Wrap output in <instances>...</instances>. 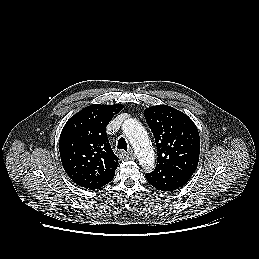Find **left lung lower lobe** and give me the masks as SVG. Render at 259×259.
<instances>
[{"label":"left lung lower lobe","instance_id":"obj_1","mask_svg":"<svg viewBox=\"0 0 259 259\" xmlns=\"http://www.w3.org/2000/svg\"><path fill=\"white\" fill-rule=\"evenodd\" d=\"M147 181L161 191H173L187 183V179L168 170H154L146 173Z\"/></svg>","mask_w":259,"mask_h":259}]
</instances>
